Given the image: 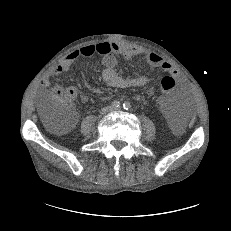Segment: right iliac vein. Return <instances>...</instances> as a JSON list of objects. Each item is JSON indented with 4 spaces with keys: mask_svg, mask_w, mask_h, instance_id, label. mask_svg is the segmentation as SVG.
<instances>
[{
    "mask_svg": "<svg viewBox=\"0 0 231 231\" xmlns=\"http://www.w3.org/2000/svg\"><path fill=\"white\" fill-rule=\"evenodd\" d=\"M112 108L111 107H104L102 110H101V114L102 115H105L106 113H108L109 111H111Z\"/></svg>",
    "mask_w": 231,
    "mask_h": 231,
    "instance_id": "1",
    "label": "right iliac vein"
}]
</instances>
